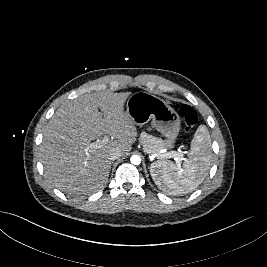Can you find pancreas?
Returning a JSON list of instances; mask_svg holds the SVG:
<instances>
[{"label":"pancreas","instance_id":"pancreas-1","mask_svg":"<svg viewBox=\"0 0 267 267\" xmlns=\"http://www.w3.org/2000/svg\"><path fill=\"white\" fill-rule=\"evenodd\" d=\"M140 142L143 145L144 152L149 155L158 154V152L166 146L162 139L145 133L141 134ZM158 156L160 157V154H158Z\"/></svg>","mask_w":267,"mask_h":267}]
</instances>
